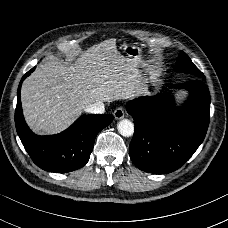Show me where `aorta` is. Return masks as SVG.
I'll use <instances>...</instances> for the list:
<instances>
[{
    "label": "aorta",
    "mask_w": 228,
    "mask_h": 228,
    "mask_svg": "<svg viewBox=\"0 0 228 228\" xmlns=\"http://www.w3.org/2000/svg\"><path fill=\"white\" fill-rule=\"evenodd\" d=\"M134 131H135V127L131 121L125 119V120H121L118 123V132L124 137L133 136Z\"/></svg>",
    "instance_id": "obj_1"
}]
</instances>
